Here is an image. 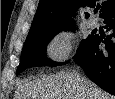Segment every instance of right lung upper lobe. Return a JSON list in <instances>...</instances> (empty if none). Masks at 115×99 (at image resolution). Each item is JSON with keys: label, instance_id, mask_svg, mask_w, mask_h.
Wrapping results in <instances>:
<instances>
[{"label": "right lung upper lobe", "instance_id": "right-lung-upper-lobe-1", "mask_svg": "<svg viewBox=\"0 0 115 99\" xmlns=\"http://www.w3.org/2000/svg\"><path fill=\"white\" fill-rule=\"evenodd\" d=\"M97 0H40L28 36L49 33L74 25L72 17L79 6L95 7ZM97 7H100L98 4ZM100 17L115 10V0L101 4ZM88 17L89 14L85 13ZM27 36V37H28Z\"/></svg>", "mask_w": 115, "mask_h": 99}]
</instances>
